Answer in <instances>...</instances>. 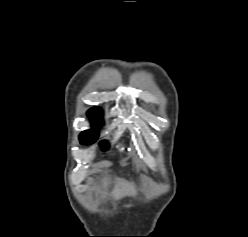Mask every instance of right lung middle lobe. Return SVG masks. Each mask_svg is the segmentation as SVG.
<instances>
[{
    "instance_id": "right-lung-middle-lobe-1",
    "label": "right lung middle lobe",
    "mask_w": 248,
    "mask_h": 237,
    "mask_svg": "<svg viewBox=\"0 0 248 237\" xmlns=\"http://www.w3.org/2000/svg\"><path fill=\"white\" fill-rule=\"evenodd\" d=\"M91 120L93 127L98 128L101 126V119L91 118ZM97 138H98V133L95 130L83 131L79 136L80 142L86 145L94 143L97 140ZM100 146H102L103 149L105 150L107 148V142L106 141L100 142Z\"/></svg>"
}]
</instances>
